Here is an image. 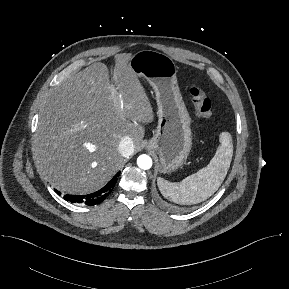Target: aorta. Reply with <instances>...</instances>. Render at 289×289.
Wrapping results in <instances>:
<instances>
[{
  "label": "aorta",
  "instance_id": "1",
  "mask_svg": "<svg viewBox=\"0 0 289 289\" xmlns=\"http://www.w3.org/2000/svg\"><path fill=\"white\" fill-rule=\"evenodd\" d=\"M137 165L141 169L148 170L152 167V159L148 155H145V154L140 155L137 158Z\"/></svg>",
  "mask_w": 289,
  "mask_h": 289
}]
</instances>
